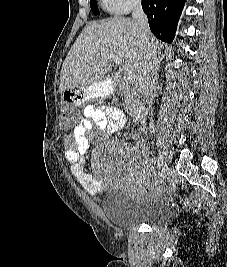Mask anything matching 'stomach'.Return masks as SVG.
<instances>
[{
  "label": "stomach",
  "mask_w": 227,
  "mask_h": 267,
  "mask_svg": "<svg viewBox=\"0 0 227 267\" xmlns=\"http://www.w3.org/2000/svg\"><path fill=\"white\" fill-rule=\"evenodd\" d=\"M84 85V87H65V91H60V104H75L83 106L87 99H95L104 95H109L113 91L112 85Z\"/></svg>",
  "instance_id": "stomach-1"
}]
</instances>
